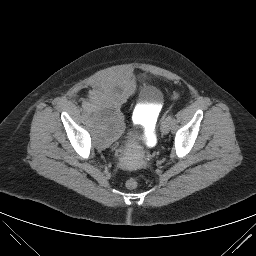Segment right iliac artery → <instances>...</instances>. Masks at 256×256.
Instances as JSON below:
<instances>
[{"instance_id":"obj_1","label":"right iliac artery","mask_w":256,"mask_h":256,"mask_svg":"<svg viewBox=\"0 0 256 256\" xmlns=\"http://www.w3.org/2000/svg\"><path fill=\"white\" fill-rule=\"evenodd\" d=\"M81 106H82V109H83L84 111H86L87 109H89V106H88L87 103H85V102H82V103H81Z\"/></svg>"}]
</instances>
